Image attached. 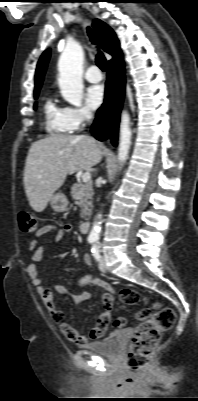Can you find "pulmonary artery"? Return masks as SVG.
<instances>
[{
    "label": "pulmonary artery",
    "mask_w": 198,
    "mask_h": 401,
    "mask_svg": "<svg viewBox=\"0 0 198 401\" xmlns=\"http://www.w3.org/2000/svg\"><path fill=\"white\" fill-rule=\"evenodd\" d=\"M85 79L90 82V83H97L100 82L103 78V75L99 68L95 65L90 66L85 74H84Z\"/></svg>",
    "instance_id": "1"
}]
</instances>
